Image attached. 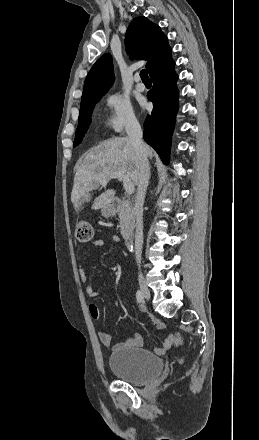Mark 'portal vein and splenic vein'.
Segmentation results:
<instances>
[{"label":"portal vein and splenic vein","instance_id":"portal-vein-and-splenic-vein-1","mask_svg":"<svg viewBox=\"0 0 259 440\" xmlns=\"http://www.w3.org/2000/svg\"><path fill=\"white\" fill-rule=\"evenodd\" d=\"M109 179L122 180L125 191L129 195L134 193V190H135L134 184L132 183L130 178L123 171H116V172L111 173V175L109 176ZM109 179H105V180L101 181V185L105 186L108 183Z\"/></svg>","mask_w":259,"mask_h":440}]
</instances>
